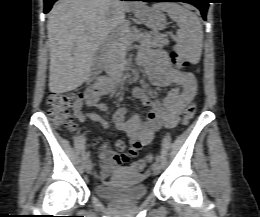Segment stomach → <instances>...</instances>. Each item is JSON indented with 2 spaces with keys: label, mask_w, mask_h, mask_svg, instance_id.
<instances>
[{
  "label": "stomach",
  "mask_w": 260,
  "mask_h": 217,
  "mask_svg": "<svg viewBox=\"0 0 260 217\" xmlns=\"http://www.w3.org/2000/svg\"><path fill=\"white\" fill-rule=\"evenodd\" d=\"M137 18L153 31H160L166 27V17L156 6L141 5L134 9Z\"/></svg>",
  "instance_id": "0dacf381"
}]
</instances>
